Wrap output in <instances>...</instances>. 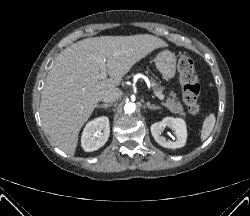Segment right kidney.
Listing matches in <instances>:
<instances>
[{"label":"right kidney","instance_id":"ca27d5eb","mask_svg":"<svg viewBox=\"0 0 250 216\" xmlns=\"http://www.w3.org/2000/svg\"><path fill=\"white\" fill-rule=\"evenodd\" d=\"M110 134L109 119L106 116L88 122L82 132L81 146L86 152L102 147Z\"/></svg>","mask_w":250,"mask_h":216}]
</instances>
